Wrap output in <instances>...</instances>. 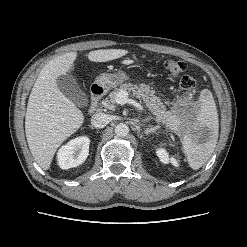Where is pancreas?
Returning a JSON list of instances; mask_svg holds the SVG:
<instances>
[{
  "mask_svg": "<svg viewBox=\"0 0 247 247\" xmlns=\"http://www.w3.org/2000/svg\"><path fill=\"white\" fill-rule=\"evenodd\" d=\"M120 91L132 93L140 101H143L146 107H148V109L155 116L156 121L165 123L167 126L171 123V113L166 111L161 99L157 97L155 95V91L146 84H140L139 86L132 83L121 84L118 88H115L103 101L108 109L113 110L116 108L115 97Z\"/></svg>",
  "mask_w": 247,
  "mask_h": 247,
  "instance_id": "obj_1",
  "label": "pancreas"
}]
</instances>
